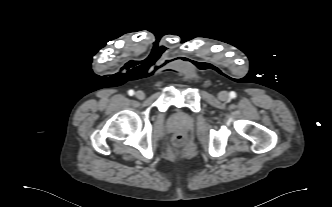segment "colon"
I'll list each match as a JSON object with an SVG mask.
<instances>
[{
	"instance_id": "5ec220e1",
	"label": "colon",
	"mask_w": 332,
	"mask_h": 207,
	"mask_svg": "<svg viewBox=\"0 0 332 207\" xmlns=\"http://www.w3.org/2000/svg\"><path fill=\"white\" fill-rule=\"evenodd\" d=\"M172 144L176 147H182L185 144V139L181 135L173 137Z\"/></svg>"
}]
</instances>
